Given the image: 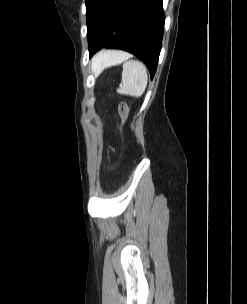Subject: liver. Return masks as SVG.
I'll use <instances>...</instances> for the list:
<instances>
[{"mask_svg":"<svg viewBox=\"0 0 247 304\" xmlns=\"http://www.w3.org/2000/svg\"><path fill=\"white\" fill-rule=\"evenodd\" d=\"M117 53H121V52H114V51H105L102 52L93 62V67L94 70H98L101 68V66L103 65L105 59L109 56V55H115Z\"/></svg>","mask_w":247,"mask_h":304,"instance_id":"liver-1","label":"liver"}]
</instances>
